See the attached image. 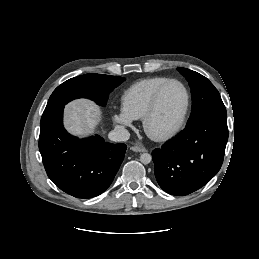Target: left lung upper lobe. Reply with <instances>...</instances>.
Returning <instances> with one entry per match:
<instances>
[{"label": "left lung upper lobe", "mask_w": 259, "mask_h": 259, "mask_svg": "<svg viewBox=\"0 0 259 259\" xmlns=\"http://www.w3.org/2000/svg\"><path fill=\"white\" fill-rule=\"evenodd\" d=\"M178 71L191 87L192 112L188 124L211 115L227 116L218 90L206 77L186 68H178Z\"/></svg>", "instance_id": "obj_1"}]
</instances>
